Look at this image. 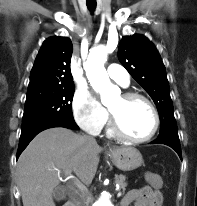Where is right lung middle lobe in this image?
Listing matches in <instances>:
<instances>
[{"mask_svg": "<svg viewBox=\"0 0 197 206\" xmlns=\"http://www.w3.org/2000/svg\"><path fill=\"white\" fill-rule=\"evenodd\" d=\"M74 85L28 89L22 130L50 120H72Z\"/></svg>", "mask_w": 197, "mask_h": 206, "instance_id": "dd1d6c3e", "label": "right lung middle lobe"}]
</instances>
